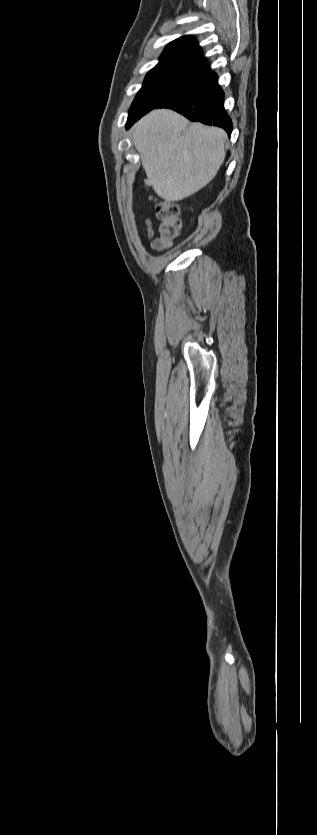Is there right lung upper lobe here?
<instances>
[{
  "mask_svg": "<svg viewBox=\"0 0 317 835\" xmlns=\"http://www.w3.org/2000/svg\"><path fill=\"white\" fill-rule=\"evenodd\" d=\"M201 55L202 51L197 41L192 37L183 36L167 45L156 67L183 60H191Z\"/></svg>",
  "mask_w": 317,
  "mask_h": 835,
  "instance_id": "1",
  "label": "right lung upper lobe"
}]
</instances>
